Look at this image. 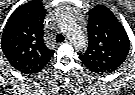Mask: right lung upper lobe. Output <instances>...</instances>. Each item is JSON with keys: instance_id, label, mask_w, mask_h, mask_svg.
Segmentation results:
<instances>
[{"instance_id": "obj_1", "label": "right lung upper lobe", "mask_w": 135, "mask_h": 95, "mask_svg": "<svg viewBox=\"0 0 135 95\" xmlns=\"http://www.w3.org/2000/svg\"><path fill=\"white\" fill-rule=\"evenodd\" d=\"M45 11L37 6H21L9 18L2 34V50L10 64L23 73L41 71L54 51L44 43Z\"/></svg>"}]
</instances>
